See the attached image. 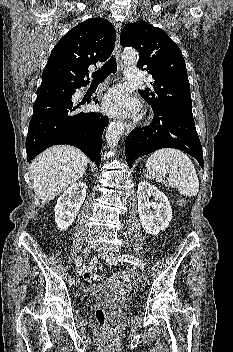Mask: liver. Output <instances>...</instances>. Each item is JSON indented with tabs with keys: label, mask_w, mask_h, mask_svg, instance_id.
Segmentation results:
<instances>
[{
	"label": "liver",
	"mask_w": 233,
	"mask_h": 352,
	"mask_svg": "<svg viewBox=\"0 0 233 352\" xmlns=\"http://www.w3.org/2000/svg\"><path fill=\"white\" fill-rule=\"evenodd\" d=\"M87 164V157L76 147H50L30 165V178L35 194L44 202L53 200L83 176Z\"/></svg>",
	"instance_id": "obj_1"
}]
</instances>
